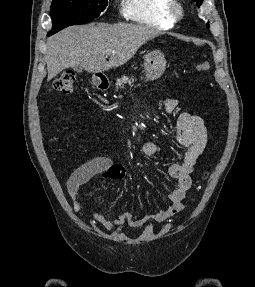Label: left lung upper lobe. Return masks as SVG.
I'll return each mask as SVG.
<instances>
[{"mask_svg":"<svg viewBox=\"0 0 255 287\" xmlns=\"http://www.w3.org/2000/svg\"><path fill=\"white\" fill-rule=\"evenodd\" d=\"M197 3V6H200L203 0H194ZM207 27H209V23H207Z\"/></svg>","mask_w":255,"mask_h":287,"instance_id":"1","label":"left lung upper lobe"}]
</instances>
